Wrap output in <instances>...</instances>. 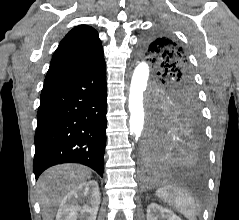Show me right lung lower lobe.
Segmentation results:
<instances>
[{"label": "right lung lower lobe", "mask_w": 239, "mask_h": 220, "mask_svg": "<svg viewBox=\"0 0 239 220\" xmlns=\"http://www.w3.org/2000/svg\"><path fill=\"white\" fill-rule=\"evenodd\" d=\"M107 88L105 61L71 78L44 85L37 113L36 179L47 168L81 163L103 176Z\"/></svg>", "instance_id": "1"}]
</instances>
